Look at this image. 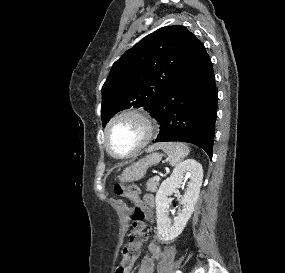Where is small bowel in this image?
Segmentation results:
<instances>
[{
  "label": "small bowel",
  "instance_id": "small-bowel-1",
  "mask_svg": "<svg viewBox=\"0 0 285 273\" xmlns=\"http://www.w3.org/2000/svg\"><path fill=\"white\" fill-rule=\"evenodd\" d=\"M142 200L145 201V203H147L148 205V210L146 211H150V209L154 206L153 196L145 195L142 198ZM148 250H149L150 255L145 256L142 259L137 273H155L156 272V260H158L161 257V247L157 242L152 241L148 246Z\"/></svg>",
  "mask_w": 285,
  "mask_h": 273
}]
</instances>
